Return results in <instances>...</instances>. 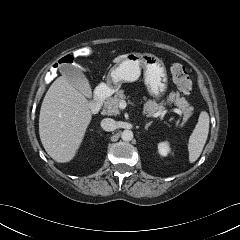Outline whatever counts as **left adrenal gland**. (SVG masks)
<instances>
[{"label": "left adrenal gland", "mask_w": 240, "mask_h": 240, "mask_svg": "<svg viewBox=\"0 0 240 240\" xmlns=\"http://www.w3.org/2000/svg\"><path fill=\"white\" fill-rule=\"evenodd\" d=\"M151 124H152V122L147 123L146 126H145V129L147 130L148 127H149Z\"/></svg>", "instance_id": "left-adrenal-gland-1"}]
</instances>
